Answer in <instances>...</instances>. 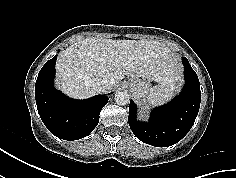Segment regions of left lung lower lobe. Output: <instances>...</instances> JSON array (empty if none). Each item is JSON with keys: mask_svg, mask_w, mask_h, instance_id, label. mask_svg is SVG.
I'll use <instances>...</instances> for the list:
<instances>
[{"mask_svg": "<svg viewBox=\"0 0 236 178\" xmlns=\"http://www.w3.org/2000/svg\"><path fill=\"white\" fill-rule=\"evenodd\" d=\"M184 64L185 85L182 92L168 104L155 108L149 122L136 119V105L131 100L129 106V125L134 135L144 143L167 147L179 142L193 126L199 111L200 83L188 60Z\"/></svg>", "mask_w": 236, "mask_h": 178, "instance_id": "1", "label": "left lung lower lobe"}]
</instances>
